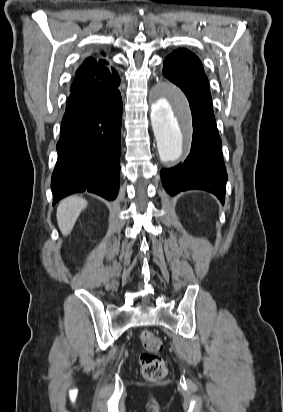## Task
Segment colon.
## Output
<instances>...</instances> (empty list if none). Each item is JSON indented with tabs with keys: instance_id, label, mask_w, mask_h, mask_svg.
<instances>
[{
	"instance_id": "colon-1",
	"label": "colon",
	"mask_w": 283,
	"mask_h": 412,
	"mask_svg": "<svg viewBox=\"0 0 283 412\" xmlns=\"http://www.w3.org/2000/svg\"><path fill=\"white\" fill-rule=\"evenodd\" d=\"M139 340L144 352L139 357L141 372L149 381H160L167 374V366L164 359L159 355L162 350V341L151 330H143Z\"/></svg>"
}]
</instances>
